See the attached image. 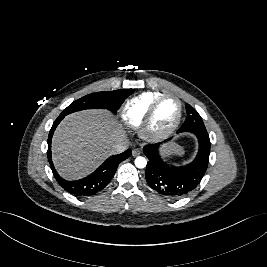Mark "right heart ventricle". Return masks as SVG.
<instances>
[{
	"mask_svg": "<svg viewBox=\"0 0 267 267\" xmlns=\"http://www.w3.org/2000/svg\"><path fill=\"white\" fill-rule=\"evenodd\" d=\"M161 95V92L148 91L129 99L121 113L124 122L133 128L140 127L149 106Z\"/></svg>",
	"mask_w": 267,
	"mask_h": 267,
	"instance_id": "obj_1",
	"label": "right heart ventricle"
}]
</instances>
